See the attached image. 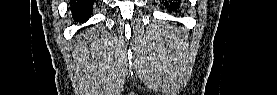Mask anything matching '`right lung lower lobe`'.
<instances>
[{
	"label": "right lung lower lobe",
	"mask_w": 277,
	"mask_h": 95,
	"mask_svg": "<svg viewBox=\"0 0 277 95\" xmlns=\"http://www.w3.org/2000/svg\"><path fill=\"white\" fill-rule=\"evenodd\" d=\"M95 0H72L71 11L77 22H84L91 16Z\"/></svg>",
	"instance_id": "1"
}]
</instances>
